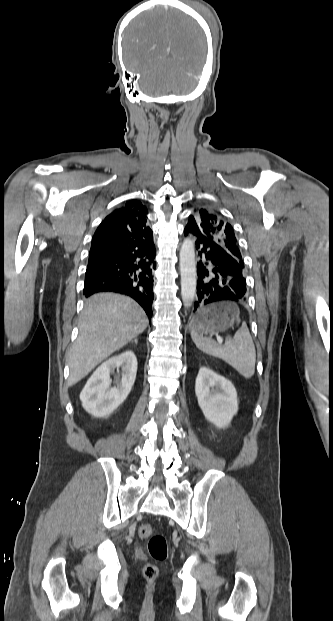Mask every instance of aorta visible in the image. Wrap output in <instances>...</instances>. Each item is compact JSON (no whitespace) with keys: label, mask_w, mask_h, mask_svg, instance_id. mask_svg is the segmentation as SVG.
<instances>
[{"label":"aorta","mask_w":333,"mask_h":621,"mask_svg":"<svg viewBox=\"0 0 333 621\" xmlns=\"http://www.w3.org/2000/svg\"><path fill=\"white\" fill-rule=\"evenodd\" d=\"M181 296L185 308H189L196 292V262L194 243L186 238L180 248Z\"/></svg>","instance_id":"762f6f07"}]
</instances>
